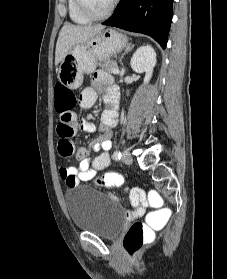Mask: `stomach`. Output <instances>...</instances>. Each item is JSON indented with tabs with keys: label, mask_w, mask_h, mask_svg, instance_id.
I'll return each mask as SVG.
<instances>
[{
	"label": "stomach",
	"mask_w": 227,
	"mask_h": 279,
	"mask_svg": "<svg viewBox=\"0 0 227 279\" xmlns=\"http://www.w3.org/2000/svg\"><path fill=\"white\" fill-rule=\"evenodd\" d=\"M127 44L126 35L106 29L87 41L74 45L57 70L59 82L69 89L79 88L83 83L84 74L92 73L98 61L108 60L121 52Z\"/></svg>",
	"instance_id": "stomach-1"
}]
</instances>
